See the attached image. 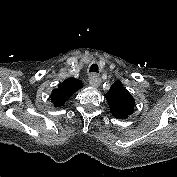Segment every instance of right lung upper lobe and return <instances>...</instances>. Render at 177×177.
Here are the masks:
<instances>
[{"label":"right lung upper lobe","instance_id":"cb5924a9","mask_svg":"<svg viewBox=\"0 0 177 177\" xmlns=\"http://www.w3.org/2000/svg\"><path fill=\"white\" fill-rule=\"evenodd\" d=\"M81 86V81L68 78L51 93V100L57 107L62 106L68 97L72 96Z\"/></svg>","mask_w":177,"mask_h":177}]
</instances>
